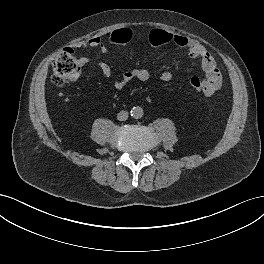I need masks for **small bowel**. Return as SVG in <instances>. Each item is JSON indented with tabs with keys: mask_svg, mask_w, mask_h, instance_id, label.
I'll return each mask as SVG.
<instances>
[{
	"mask_svg": "<svg viewBox=\"0 0 264 264\" xmlns=\"http://www.w3.org/2000/svg\"><path fill=\"white\" fill-rule=\"evenodd\" d=\"M129 29V28H128ZM131 32V38L133 36V32ZM171 35V41L174 45L179 48L186 49L189 57L192 59H198L201 63V68L205 74V82L208 85L206 95H212L215 93L222 84V75L219 71L215 59L212 54L196 39L189 38L180 34ZM75 48H90V49H98L102 54L108 53V48L104 43L101 36H93L91 38L85 39L83 41H79L74 43ZM79 62L82 66H85L89 62V58L86 56H81L79 58ZM98 67L101 73L105 77H110L112 74L111 67L106 62H100ZM151 74L148 69L142 67H135L131 70H127L121 73V76L118 80L114 82V87L117 90L124 89L130 82L137 80L140 82H145L149 80ZM173 75L170 71H163L160 74V79L163 82L171 81Z\"/></svg>",
	"mask_w": 264,
	"mask_h": 264,
	"instance_id": "1",
	"label": "small bowel"
}]
</instances>
